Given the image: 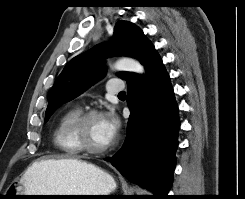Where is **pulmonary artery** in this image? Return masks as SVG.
I'll use <instances>...</instances> for the list:
<instances>
[{"instance_id": "1", "label": "pulmonary artery", "mask_w": 245, "mask_h": 199, "mask_svg": "<svg viewBox=\"0 0 245 199\" xmlns=\"http://www.w3.org/2000/svg\"><path fill=\"white\" fill-rule=\"evenodd\" d=\"M106 90L108 94H118L123 92L124 83L121 80L112 79L109 80L106 86Z\"/></svg>"}]
</instances>
